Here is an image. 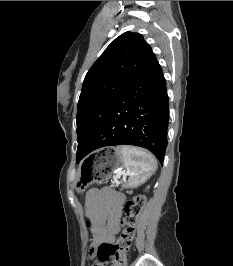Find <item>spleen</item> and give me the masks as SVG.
<instances>
[{"label":"spleen","instance_id":"3e777b00","mask_svg":"<svg viewBox=\"0 0 233 266\" xmlns=\"http://www.w3.org/2000/svg\"><path fill=\"white\" fill-rule=\"evenodd\" d=\"M117 153L121 155L123 167L127 169L128 186L131 188L144 183L157 169L154 157L142 149L123 145L117 148Z\"/></svg>","mask_w":233,"mask_h":266}]
</instances>
